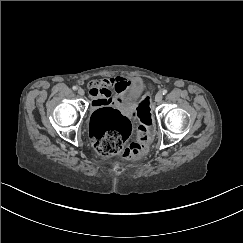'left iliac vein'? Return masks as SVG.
<instances>
[{"mask_svg":"<svg viewBox=\"0 0 243 243\" xmlns=\"http://www.w3.org/2000/svg\"><path fill=\"white\" fill-rule=\"evenodd\" d=\"M162 98H163L162 93L159 92V93H157L156 96H155V101H156L157 103H159V102H161Z\"/></svg>","mask_w":243,"mask_h":243,"instance_id":"left-iliac-vein-1","label":"left iliac vein"}]
</instances>
